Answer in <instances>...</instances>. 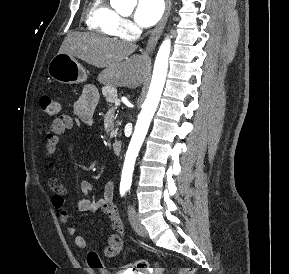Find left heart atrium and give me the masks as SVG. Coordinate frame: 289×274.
Wrapping results in <instances>:
<instances>
[{"label":"left heart atrium","instance_id":"39dd6f15","mask_svg":"<svg viewBox=\"0 0 289 274\" xmlns=\"http://www.w3.org/2000/svg\"><path fill=\"white\" fill-rule=\"evenodd\" d=\"M163 10V0H138L134 19L140 26L149 27L161 18Z\"/></svg>","mask_w":289,"mask_h":274}]
</instances>
